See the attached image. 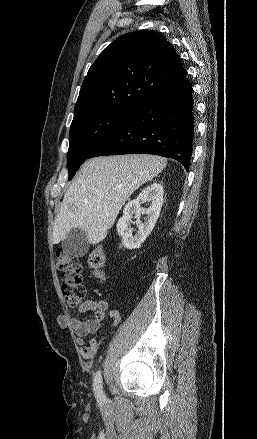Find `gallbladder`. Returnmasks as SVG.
Wrapping results in <instances>:
<instances>
[{
	"label": "gallbladder",
	"instance_id": "obj_1",
	"mask_svg": "<svg viewBox=\"0 0 257 439\" xmlns=\"http://www.w3.org/2000/svg\"><path fill=\"white\" fill-rule=\"evenodd\" d=\"M61 246L65 252L72 256H84L89 248L86 232L79 228L71 230L62 241Z\"/></svg>",
	"mask_w": 257,
	"mask_h": 439
}]
</instances>
